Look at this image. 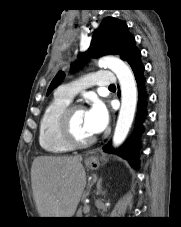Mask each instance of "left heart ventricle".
<instances>
[{"label":"left heart ventricle","mask_w":181,"mask_h":227,"mask_svg":"<svg viewBox=\"0 0 181 227\" xmlns=\"http://www.w3.org/2000/svg\"><path fill=\"white\" fill-rule=\"evenodd\" d=\"M72 126L74 133L80 138H89L93 133L88 128L86 122V110H77L73 114Z\"/></svg>","instance_id":"1"}]
</instances>
